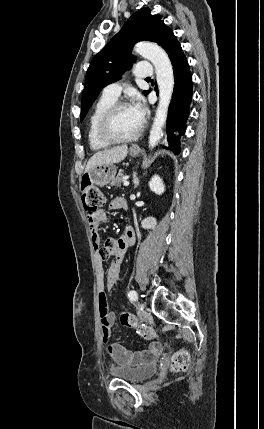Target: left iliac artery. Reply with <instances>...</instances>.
<instances>
[{
	"mask_svg": "<svg viewBox=\"0 0 264 429\" xmlns=\"http://www.w3.org/2000/svg\"><path fill=\"white\" fill-rule=\"evenodd\" d=\"M136 291L135 290H131V291H129L128 292V297L130 298V300H132L133 299V293H135ZM133 301V300H132Z\"/></svg>",
	"mask_w": 264,
	"mask_h": 429,
	"instance_id": "obj_1",
	"label": "left iliac artery"
}]
</instances>
